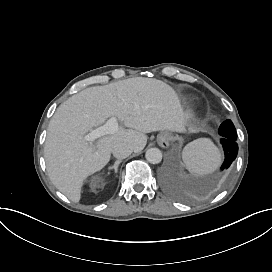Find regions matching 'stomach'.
<instances>
[{
	"label": "stomach",
	"instance_id": "0dacf381",
	"mask_svg": "<svg viewBox=\"0 0 272 272\" xmlns=\"http://www.w3.org/2000/svg\"><path fill=\"white\" fill-rule=\"evenodd\" d=\"M180 132H181V133H185V132H186V128L184 127L183 130L180 131ZM188 132H189V133H194V132H196V130L193 129L192 127H189ZM163 134L167 135V136L169 137L170 140H175V139H176V137H174V136H172V135H170V134H168V133H161V134L158 135L157 140H159V139L161 138V135H163ZM158 143H159V142H158Z\"/></svg>",
	"mask_w": 272,
	"mask_h": 272
}]
</instances>
